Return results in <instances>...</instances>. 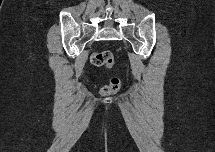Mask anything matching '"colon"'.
Returning <instances> with one entry per match:
<instances>
[{
	"mask_svg": "<svg viewBox=\"0 0 215 152\" xmlns=\"http://www.w3.org/2000/svg\"><path fill=\"white\" fill-rule=\"evenodd\" d=\"M90 61L97 67L111 68L114 65V55L111 51L93 52L90 56ZM121 87L119 77H112L108 84L104 85L100 93L102 96H111L117 93Z\"/></svg>",
	"mask_w": 215,
	"mask_h": 152,
	"instance_id": "colon-1",
	"label": "colon"
}]
</instances>
